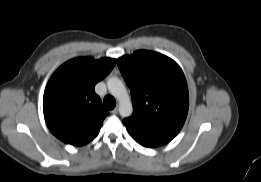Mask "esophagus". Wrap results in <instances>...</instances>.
Wrapping results in <instances>:
<instances>
[{"instance_id": "esophagus-1", "label": "esophagus", "mask_w": 261, "mask_h": 182, "mask_svg": "<svg viewBox=\"0 0 261 182\" xmlns=\"http://www.w3.org/2000/svg\"><path fill=\"white\" fill-rule=\"evenodd\" d=\"M111 113H112L113 115H116V114L118 113V108H117V107L114 108V109L111 111Z\"/></svg>"}]
</instances>
